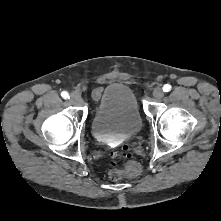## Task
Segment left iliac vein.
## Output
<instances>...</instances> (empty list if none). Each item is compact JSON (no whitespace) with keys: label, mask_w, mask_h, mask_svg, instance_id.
Segmentation results:
<instances>
[{"label":"left iliac vein","mask_w":221,"mask_h":221,"mask_svg":"<svg viewBox=\"0 0 221 221\" xmlns=\"http://www.w3.org/2000/svg\"><path fill=\"white\" fill-rule=\"evenodd\" d=\"M152 96L154 99L159 100L164 96V93L160 87H156L152 92Z\"/></svg>","instance_id":"obj_1"}]
</instances>
